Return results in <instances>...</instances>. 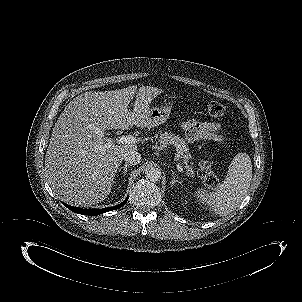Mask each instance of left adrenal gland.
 <instances>
[{"label":"left adrenal gland","instance_id":"a2214340","mask_svg":"<svg viewBox=\"0 0 302 302\" xmlns=\"http://www.w3.org/2000/svg\"><path fill=\"white\" fill-rule=\"evenodd\" d=\"M176 183H180L178 181V177H176L175 173L172 172V181L170 182L171 186L175 185Z\"/></svg>","mask_w":302,"mask_h":302}]
</instances>
